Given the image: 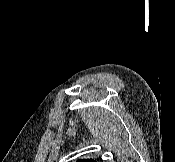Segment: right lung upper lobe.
I'll list each match as a JSON object with an SVG mask.
<instances>
[{"label":"right lung upper lobe","instance_id":"cb5924a9","mask_svg":"<svg viewBox=\"0 0 175 162\" xmlns=\"http://www.w3.org/2000/svg\"><path fill=\"white\" fill-rule=\"evenodd\" d=\"M77 162H96L93 159H86V160H78Z\"/></svg>","mask_w":175,"mask_h":162}]
</instances>
